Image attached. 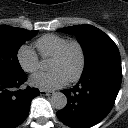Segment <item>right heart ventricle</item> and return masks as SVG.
<instances>
[{
	"mask_svg": "<svg viewBox=\"0 0 128 128\" xmlns=\"http://www.w3.org/2000/svg\"><path fill=\"white\" fill-rule=\"evenodd\" d=\"M68 41L69 39L67 37L56 34H48L39 38L35 42V46L40 55L47 58L56 55Z\"/></svg>",
	"mask_w": 128,
	"mask_h": 128,
	"instance_id": "obj_1",
	"label": "right heart ventricle"
}]
</instances>
